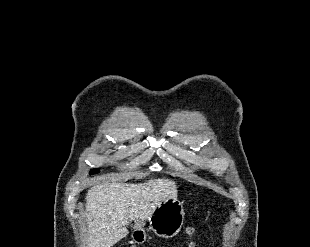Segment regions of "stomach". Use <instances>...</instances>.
Listing matches in <instances>:
<instances>
[{
    "label": "stomach",
    "mask_w": 310,
    "mask_h": 247,
    "mask_svg": "<svg viewBox=\"0 0 310 247\" xmlns=\"http://www.w3.org/2000/svg\"><path fill=\"white\" fill-rule=\"evenodd\" d=\"M184 207L175 199L162 201L149 218V227L158 237L171 238L179 233L184 222ZM135 244H144L147 233L143 227H135L131 233Z\"/></svg>",
    "instance_id": "obj_1"
}]
</instances>
